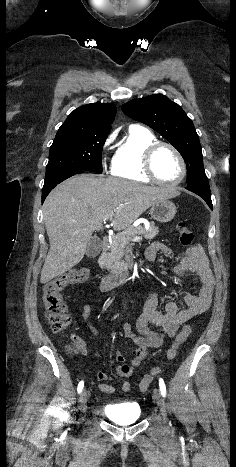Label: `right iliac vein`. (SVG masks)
Instances as JSON below:
<instances>
[{
	"mask_svg": "<svg viewBox=\"0 0 236 467\" xmlns=\"http://www.w3.org/2000/svg\"><path fill=\"white\" fill-rule=\"evenodd\" d=\"M88 397H89V393H88L87 390L84 389V390L81 392V395H80V397H79L80 408H81L82 410H85V409H86Z\"/></svg>",
	"mask_w": 236,
	"mask_h": 467,
	"instance_id": "63e3f726",
	"label": "right iliac vein"
}]
</instances>
